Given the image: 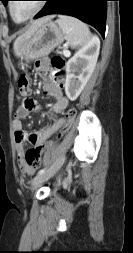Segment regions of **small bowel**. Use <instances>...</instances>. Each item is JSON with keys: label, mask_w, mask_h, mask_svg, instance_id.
<instances>
[{"label": "small bowel", "mask_w": 133, "mask_h": 253, "mask_svg": "<svg viewBox=\"0 0 133 253\" xmlns=\"http://www.w3.org/2000/svg\"><path fill=\"white\" fill-rule=\"evenodd\" d=\"M38 75L43 79V93L51 98L52 111L62 113L69 104V99L63 94V80L59 72L55 71L50 66V61L47 58H42L36 62ZM21 104L15 113L12 126L15 132L17 160L21 170L27 175H32L35 168L28 165L26 161V145L29 144L32 148L43 146L45 141L56 131L61 129L65 122V118H59L52 125L45 126L34 132H27L23 127V119L28 117L32 112L40 110V107L35 102V97H23Z\"/></svg>", "instance_id": "1"}]
</instances>
